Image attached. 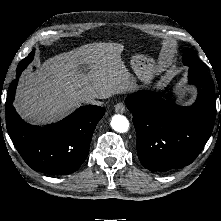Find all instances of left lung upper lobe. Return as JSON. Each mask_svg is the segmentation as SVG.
<instances>
[{
    "instance_id": "1",
    "label": "left lung upper lobe",
    "mask_w": 221,
    "mask_h": 221,
    "mask_svg": "<svg viewBox=\"0 0 221 221\" xmlns=\"http://www.w3.org/2000/svg\"><path fill=\"white\" fill-rule=\"evenodd\" d=\"M183 63L188 66L204 68L203 64L201 63L193 49H186L184 51Z\"/></svg>"
}]
</instances>
